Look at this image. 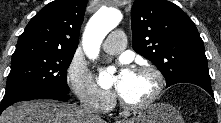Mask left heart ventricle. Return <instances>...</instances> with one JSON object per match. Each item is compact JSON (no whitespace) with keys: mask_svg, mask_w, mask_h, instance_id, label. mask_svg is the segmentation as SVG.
<instances>
[{"mask_svg":"<svg viewBox=\"0 0 221 123\" xmlns=\"http://www.w3.org/2000/svg\"><path fill=\"white\" fill-rule=\"evenodd\" d=\"M117 92L129 103H140L147 100L155 90L154 78L146 72L131 71L122 81L114 78Z\"/></svg>","mask_w":221,"mask_h":123,"instance_id":"left-heart-ventricle-1","label":"left heart ventricle"}]
</instances>
